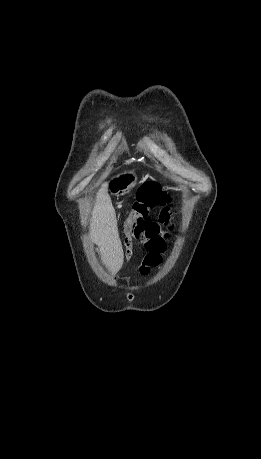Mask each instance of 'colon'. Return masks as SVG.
<instances>
[{"instance_id":"colon-1","label":"colon","mask_w":261,"mask_h":459,"mask_svg":"<svg viewBox=\"0 0 261 459\" xmlns=\"http://www.w3.org/2000/svg\"><path fill=\"white\" fill-rule=\"evenodd\" d=\"M172 201L167 189L155 181L144 183L138 190L133 212L127 222L121 223L122 242L125 244V258H132L135 246V235L138 238H159L161 234L172 233L178 228L176 223L171 226L168 204ZM161 207L160 218H152L151 210Z\"/></svg>"}]
</instances>
